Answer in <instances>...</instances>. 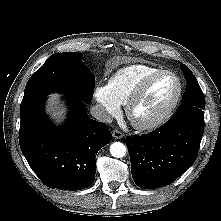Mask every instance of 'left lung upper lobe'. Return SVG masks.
Wrapping results in <instances>:
<instances>
[{
  "mask_svg": "<svg viewBox=\"0 0 221 221\" xmlns=\"http://www.w3.org/2000/svg\"><path fill=\"white\" fill-rule=\"evenodd\" d=\"M182 70L185 73L188 84L186 86V92L183 96L181 106H193V107H198L200 109H204L205 98L197 82V79L195 78L192 71L187 66L182 65Z\"/></svg>",
  "mask_w": 221,
  "mask_h": 221,
  "instance_id": "1",
  "label": "left lung upper lobe"
}]
</instances>
